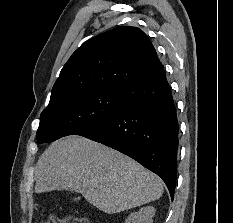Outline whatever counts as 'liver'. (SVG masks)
Segmentation results:
<instances>
[{
    "instance_id": "liver-1",
    "label": "liver",
    "mask_w": 233,
    "mask_h": 223,
    "mask_svg": "<svg viewBox=\"0 0 233 223\" xmlns=\"http://www.w3.org/2000/svg\"><path fill=\"white\" fill-rule=\"evenodd\" d=\"M35 175L36 193L77 191L105 213L155 201L163 193L158 175L128 155L80 135L53 141L40 155Z\"/></svg>"
}]
</instances>
